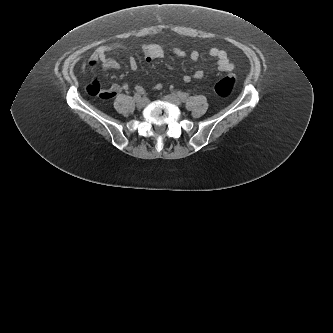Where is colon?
Listing matches in <instances>:
<instances>
[{
  "mask_svg": "<svg viewBox=\"0 0 333 333\" xmlns=\"http://www.w3.org/2000/svg\"><path fill=\"white\" fill-rule=\"evenodd\" d=\"M236 80L233 76H226L216 82L214 90L221 97H228L232 94Z\"/></svg>",
  "mask_w": 333,
  "mask_h": 333,
  "instance_id": "obj_1",
  "label": "colon"
}]
</instances>
